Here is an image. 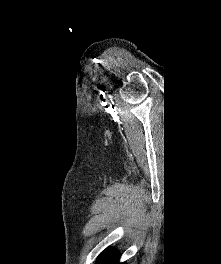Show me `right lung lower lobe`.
<instances>
[{
    "mask_svg": "<svg viewBox=\"0 0 221 264\" xmlns=\"http://www.w3.org/2000/svg\"><path fill=\"white\" fill-rule=\"evenodd\" d=\"M118 259V253L114 249H107L100 254L97 264H120Z\"/></svg>",
    "mask_w": 221,
    "mask_h": 264,
    "instance_id": "obj_1",
    "label": "right lung lower lobe"
}]
</instances>
